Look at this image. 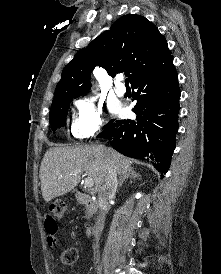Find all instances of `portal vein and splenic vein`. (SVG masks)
<instances>
[{"instance_id": "portal-vein-and-splenic-vein-1", "label": "portal vein and splenic vein", "mask_w": 221, "mask_h": 274, "mask_svg": "<svg viewBox=\"0 0 221 274\" xmlns=\"http://www.w3.org/2000/svg\"><path fill=\"white\" fill-rule=\"evenodd\" d=\"M80 172H81L80 170H76V171L74 172V174L80 173ZM84 185H85V187H87V188H92L93 185H94L93 179L90 178V177L86 178L85 181H84Z\"/></svg>"}]
</instances>
